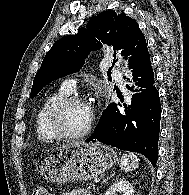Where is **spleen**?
Segmentation results:
<instances>
[{"label": "spleen", "mask_w": 189, "mask_h": 195, "mask_svg": "<svg viewBox=\"0 0 189 195\" xmlns=\"http://www.w3.org/2000/svg\"><path fill=\"white\" fill-rule=\"evenodd\" d=\"M139 159L134 153H125L120 160V168L126 172L138 168Z\"/></svg>", "instance_id": "obj_1"}]
</instances>
